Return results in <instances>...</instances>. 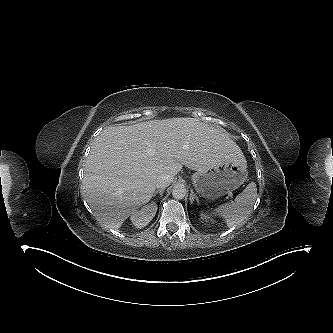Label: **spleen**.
<instances>
[{
	"instance_id": "obj_1",
	"label": "spleen",
	"mask_w": 333,
	"mask_h": 333,
	"mask_svg": "<svg viewBox=\"0 0 333 333\" xmlns=\"http://www.w3.org/2000/svg\"><path fill=\"white\" fill-rule=\"evenodd\" d=\"M257 197L254 182L236 196L235 201L217 207L213 214L223 218L229 228L240 225L250 214Z\"/></svg>"
}]
</instances>
